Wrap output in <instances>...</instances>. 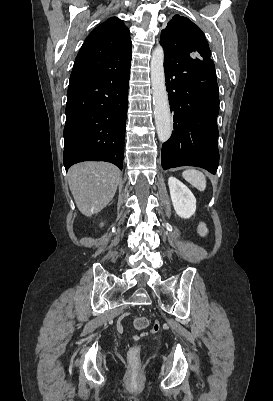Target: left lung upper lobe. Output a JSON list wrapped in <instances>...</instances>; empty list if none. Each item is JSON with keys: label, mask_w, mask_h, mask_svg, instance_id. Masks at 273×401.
I'll list each match as a JSON object with an SVG mask.
<instances>
[{"label": "left lung upper lobe", "mask_w": 273, "mask_h": 401, "mask_svg": "<svg viewBox=\"0 0 273 401\" xmlns=\"http://www.w3.org/2000/svg\"><path fill=\"white\" fill-rule=\"evenodd\" d=\"M160 43L164 50L210 59L211 51L201 29L188 18L175 15L161 31Z\"/></svg>", "instance_id": "1"}]
</instances>
